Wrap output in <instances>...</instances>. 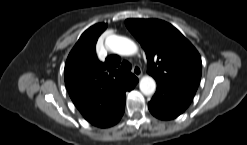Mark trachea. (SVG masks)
<instances>
[{
  "label": "trachea",
  "mask_w": 247,
  "mask_h": 145,
  "mask_svg": "<svg viewBox=\"0 0 247 145\" xmlns=\"http://www.w3.org/2000/svg\"><path fill=\"white\" fill-rule=\"evenodd\" d=\"M132 69V65L128 61H123L121 64V70L123 72H129Z\"/></svg>",
  "instance_id": "obj_1"
}]
</instances>
